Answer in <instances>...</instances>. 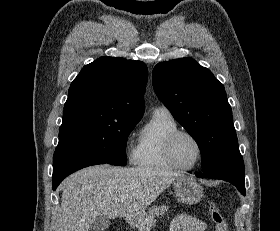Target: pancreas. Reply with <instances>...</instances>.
<instances>
[{
	"label": "pancreas",
	"instance_id": "pancreas-1",
	"mask_svg": "<svg viewBox=\"0 0 280 231\" xmlns=\"http://www.w3.org/2000/svg\"><path fill=\"white\" fill-rule=\"evenodd\" d=\"M167 209L168 205H153V207H150L146 217L139 219L136 227H139V231H150L151 227L156 225L157 219L155 215H164Z\"/></svg>",
	"mask_w": 280,
	"mask_h": 231
}]
</instances>
